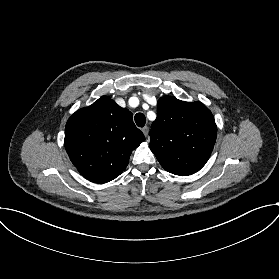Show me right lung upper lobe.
I'll return each instance as SVG.
<instances>
[{
	"mask_svg": "<svg viewBox=\"0 0 279 279\" xmlns=\"http://www.w3.org/2000/svg\"><path fill=\"white\" fill-rule=\"evenodd\" d=\"M144 140L132 113L103 96L69 118L64 144L79 173L103 184L122 173L131 152Z\"/></svg>",
	"mask_w": 279,
	"mask_h": 279,
	"instance_id": "cb5924a9",
	"label": "right lung upper lobe"
}]
</instances>
